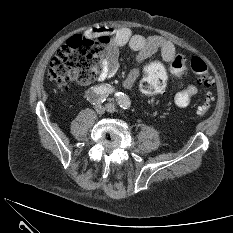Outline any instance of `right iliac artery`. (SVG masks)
Masks as SVG:
<instances>
[{"label": "right iliac artery", "instance_id": "obj_1", "mask_svg": "<svg viewBox=\"0 0 233 233\" xmlns=\"http://www.w3.org/2000/svg\"><path fill=\"white\" fill-rule=\"evenodd\" d=\"M114 92V88L108 84L100 85L93 88L87 95V99L92 104H100L105 102L109 94Z\"/></svg>", "mask_w": 233, "mask_h": 233}]
</instances>
